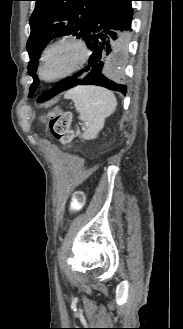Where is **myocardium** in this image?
Masks as SVG:
<instances>
[{"label": "myocardium", "instance_id": "obj_1", "mask_svg": "<svg viewBox=\"0 0 183 329\" xmlns=\"http://www.w3.org/2000/svg\"><path fill=\"white\" fill-rule=\"evenodd\" d=\"M66 42L74 43L80 48L81 53H82L80 61L72 69H70L56 77H53V78L45 77L43 74V65H44V61H45V58H46L48 52L51 49H53L54 47H56L62 43H66ZM88 58H89V49H88L86 43L82 39L75 37V36H70V35L61 37V38L57 39L56 41L52 42L51 44H49L42 52L40 62H39V76L41 77V79H43L44 81H47V82H55V81L62 80L64 78L69 77L70 75H73L74 73L78 72L79 70H81L84 67V65L87 63Z\"/></svg>", "mask_w": 183, "mask_h": 329}]
</instances>
